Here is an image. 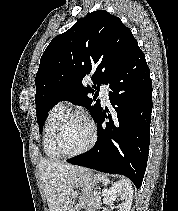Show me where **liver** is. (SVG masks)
I'll list each match as a JSON object with an SVG mask.
<instances>
[{
  "label": "liver",
  "instance_id": "obj_1",
  "mask_svg": "<svg viewBox=\"0 0 178 211\" xmlns=\"http://www.w3.org/2000/svg\"><path fill=\"white\" fill-rule=\"evenodd\" d=\"M39 170L49 211H66L72 186L77 177L87 169L60 161L42 159Z\"/></svg>",
  "mask_w": 178,
  "mask_h": 211
}]
</instances>
